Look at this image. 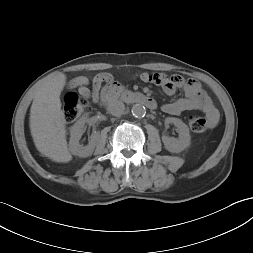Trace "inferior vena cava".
I'll return each instance as SVG.
<instances>
[{"mask_svg": "<svg viewBox=\"0 0 253 253\" xmlns=\"http://www.w3.org/2000/svg\"><path fill=\"white\" fill-rule=\"evenodd\" d=\"M107 110L113 116H121L124 113L125 105L120 100H114L109 103Z\"/></svg>", "mask_w": 253, "mask_h": 253, "instance_id": "1", "label": "inferior vena cava"}]
</instances>
